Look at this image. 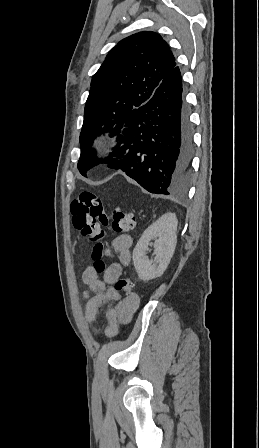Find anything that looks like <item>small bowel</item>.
I'll use <instances>...</instances> for the list:
<instances>
[{
  "instance_id": "small-bowel-1",
  "label": "small bowel",
  "mask_w": 259,
  "mask_h": 448,
  "mask_svg": "<svg viewBox=\"0 0 259 448\" xmlns=\"http://www.w3.org/2000/svg\"><path fill=\"white\" fill-rule=\"evenodd\" d=\"M131 246L132 238L129 235L122 234L115 237L110 247L105 251V255L110 256L112 253H116L117 262L104 271L103 278H99V273L93 266H88L83 272V281L90 292L84 294L86 318L89 322H92L99 310L103 307L106 308L107 326L105 336L108 338L115 337L118 334L119 326L130 322L138 308L139 299L136 294L122 299L114 286L122 275L123 269L130 264ZM113 302H116V304H113Z\"/></svg>"
}]
</instances>
